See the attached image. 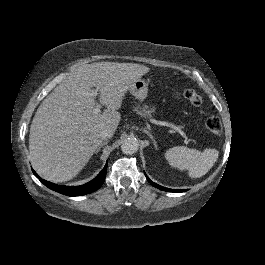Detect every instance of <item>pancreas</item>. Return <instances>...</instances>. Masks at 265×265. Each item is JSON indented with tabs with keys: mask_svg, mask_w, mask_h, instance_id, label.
Masks as SVG:
<instances>
[{
	"mask_svg": "<svg viewBox=\"0 0 265 265\" xmlns=\"http://www.w3.org/2000/svg\"><path fill=\"white\" fill-rule=\"evenodd\" d=\"M134 111H136L139 115H141L144 118H151L152 113L155 112V107L150 108L148 105L143 106H137L134 108Z\"/></svg>",
	"mask_w": 265,
	"mask_h": 265,
	"instance_id": "1",
	"label": "pancreas"
}]
</instances>
